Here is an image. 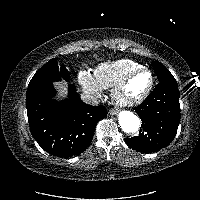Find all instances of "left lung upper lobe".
I'll list each match as a JSON object with an SVG mask.
<instances>
[{"label": "left lung upper lobe", "instance_id": "obj_1", "mask_svg": "<svg viewBox=\"0 0 200 200\" xmlns=\"http://www.w3.org/2000/svg\"><path fill=\"white\" fill-rule=\"evenodd\" d=\"M153 68L158 77L159 82H176L170 71L160 62H153Z\"/></svg>", "mask_w": 200, "mask_h": 200}]
</instances>
